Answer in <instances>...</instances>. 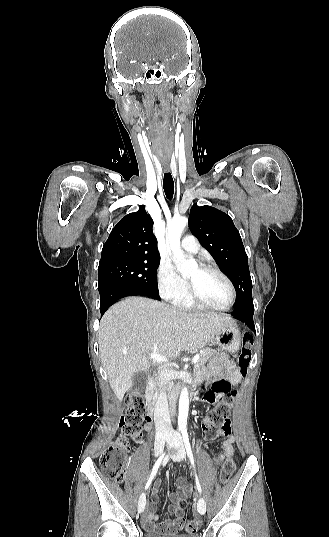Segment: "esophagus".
I'll use <instances>...</instances> for the list:
<instances>
[{
	"label": "esophagus",
	"mask_w": 329,
	"mask_h": 537,
	"mask_svg": "<svg viewBox=\"0 0 329 537\" xmlns=\"http://www.w3.org/2000/svg\"><path fill=\"white\" fill-rule=\"evenodd\" d=\"M165 170L168 171L169 170L168 167H166Z\"/></svg>",
	"instance_id": "1"
}]
</instances>
